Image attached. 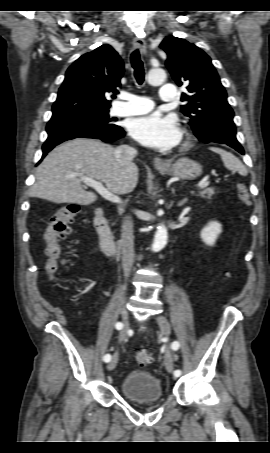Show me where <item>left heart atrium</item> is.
I'll return each mask as SVG.
<instances>
[{"instance_id":"left-heart-atrium-1","label":"left heart atrium","mask_w":270,"mask_h":453,"mask_svg":"<svg viewBox=\"0 0 270 453\" xmlns=\"http://www.w3.org/2000/svg\"><path fill=\"white\" fill-rule=\"evenodd\" d=\"M128 131L141 144L160 150L175 147L182 137L174 116L157 113L132 119L128 124Z\"/></svg>"}]
</instances>
